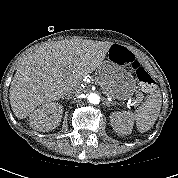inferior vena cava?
I'll use <instances>...</instances> for the list:
<instances>
[{
	"label": "inferior vena cava",
	"instance_id": "obj_1",
	"mask_svg": "<svg viewBox=\"0 0 178 178\" xmlns=\"http://www.w3.org/2000/svg\"><path fill=\"white\" fill-rule=\"evenodd\" d=\"M81 93V89H75L72 92H70L67 96V98H72L74 96H79Z\"/></svg>",
	"mask_w": 178,
	"mask_h": 178
}]
</instances>
